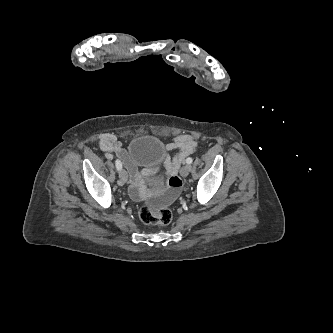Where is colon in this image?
Here are the masks:
<instances>
[{
    "mask_svg": "<svg viewBox=\"0 0 333 333\" xmlns=\"http://www.w3.org/2000/svg\"><path fill=\"white\" fill-rule=\"evenodd\" d=\"M140 220L146 225H166L172 220V213L168 208H154L143 205L139 209Z\"/></svg>",
    "mask_w": 333,
    "mask_h": 333,
    "instance_id": "5ec220e1",
    "label": "colon"
}]
</instances>
